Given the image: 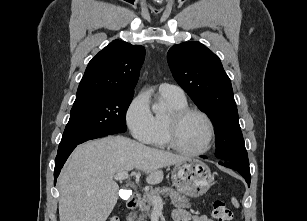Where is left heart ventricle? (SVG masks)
Returning a JSON list of instances; mask_svg holds the SVG:
<instances>
[{
  "label": "left heart ventricle",
  "mask_w": 307,
  "mask_h": 221,
  "mask_svg": "<svg viewBox=\"0 0 307 221\" xmlns=\"http://www.w3.org/2000/svg\"><path fill=\"white\" fill-rule=\"evenodd\" d=\"M209 128L206 121L197 114H190L179 126L177 141L187 150L198 151L207 145Z\"/></svg>",
  "instance_id": "obj_1"
}]
</instances>
